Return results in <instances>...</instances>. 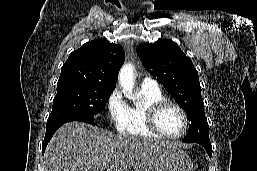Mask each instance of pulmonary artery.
<instances>
[{"label": "pulmonary artery", "mask_w": 257, "mask_h": 171, "mask_svg": "<svg viewBox=\"0 0 257 171\" xmlns=\"http://www.w3.org/2000/svg\"><path fill=\"white\" fill-rule=\"evenodd\" d=\"M142 85L147 87H158V83L156 82V80L150 77L144 78L142 81Z\"/></svg>", "instance_id": "pulmonary-artery-1"}]
</instances>
